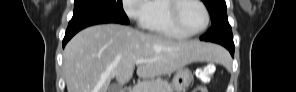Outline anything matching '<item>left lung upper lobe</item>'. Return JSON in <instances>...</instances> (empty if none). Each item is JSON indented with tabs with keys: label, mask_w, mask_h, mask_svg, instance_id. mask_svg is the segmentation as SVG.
Returning a JSON list of instances; mask_svg holds the SVG:
<instances>
[{
	"label": "left lung upper lobe",
	"mask_w": 296,
	"mask_h": 92,
	"mask_svg": "<svg viewBox=\"0 0 296 92\" xmlns=\"http://www.w3.org/2000/svg\"><path fill=\"white\" fill-rule=\"evenodd\" d=\"M211 16V28L202 36L204 41L219 44H234L228 22L225 0H202Z\"/></svg>",
	"instance_id": "obj_1"
}]
</instances>
